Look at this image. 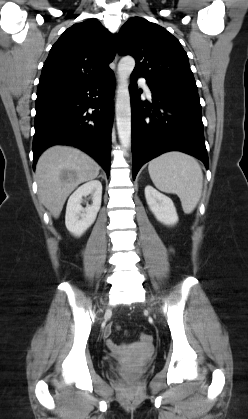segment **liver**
Returning <instances> with one entry per match:
<instances>
[{
	"instance_id": "obj_1",
	"label": "liver",
	"mask_w": 248,
	"mask_h": 419,
	"mask_svg": "<svg viewBox=\"0 0 248 419\" xmlns=\"http://www.w3.org/2000/svg\"><path fill=\"white\" fill-rule=\"evenodd\" d=\"M98 163L83 151L70 146H53L39 157L36 165L38 197L58 218L69 194L81 183L95 179Z\"/></svg>"
}]
</instances>
